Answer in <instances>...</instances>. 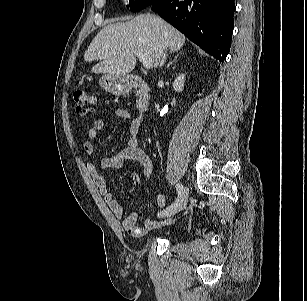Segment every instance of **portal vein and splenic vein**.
<instances>
[{"label":"portal vein and splenic vein","mask_w":307,"mask_h":301,"mask_svg":"<svg viewBox=\"0 0 307 301\" xmlns=\"http://www.w3.org/2000/svg\"><path fill=\"white\" fill-rule=\"evenodd\" d=\"M137 57L140 58V60L142 61L143 63V67L145 69H150L153 65V61H152V58L149 57L148 55L146 54H143L141 52H138L137 54Z\"/></svg>","instance_id":"obj_1"}]
</instances>
